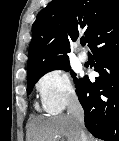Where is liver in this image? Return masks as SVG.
I'll return each instance as SVG.
<instances>
[{"instance_id": "liver-1", "label": "liver", "mask_w": 119, "mask_h": 141, "mask_svg": "<svg viewBox=\"0 0 119 141\" xmlns=\"http://www.w3.org/2000/svg\"><path fill=\"white\" fill-rule=\"evenodd\" d=\"M64 138L80 141L74 119L70 115L36 118L30 124L28 141H62Z\"/></svg>"}]
</instances>
